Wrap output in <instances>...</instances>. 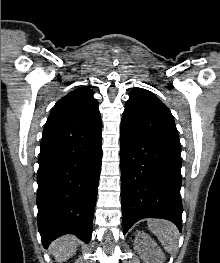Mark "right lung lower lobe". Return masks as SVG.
I'll use <instances>...</instances> for the list:
<instances>
[{
    "label": "right lung lower lobe",
    "instance_id": "right-lung-lower-lobe-1",
    "mask_svg": "<svg viewBox=\"0 0 220 263\" xmlns=\"http://www.w3.org/2000/svg\"><path fill=\"white\" fill-rule=\"evenodd\" d=\"M101 131L102 127L79 138H42L37 207L45 248L67 233L90 241L102 160Z\"/></svg>",
    "mask_w": 220,
    "mask_h": 263
}]
</instances>
